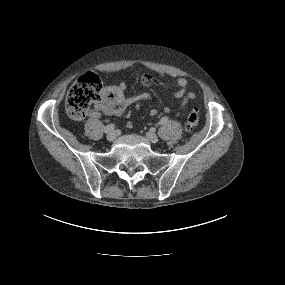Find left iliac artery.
I'll return each mask as SVG.
<instances>
[{"mask_svg":"<svg viewBox=\"0 0 285 285\" xmlns=\"http://www.w3.org/2000/svg\"><path fill=\"white\" fill-rule=\"evenodd\" d=\"M167 121H168V117L164 116V117H162L161 120L159 121V124H160V125L166 124Z\"/></svg>","mask_w":285,"mask_h":285,"instance_id":"1","label":"left iliac artery"}]
</instances>
